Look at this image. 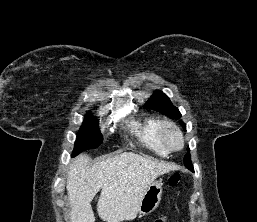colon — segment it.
Here are the masks:
<instances>
[{"label":"colon","mask_w":257,"mask_h":222,"mask_svg":"<svg viewBox=\"0 0 257 222\" xmlns=\"http://www.w3.org/2000/svg\"><path fill=\"white\" fill-rule=\"evenodd\" d=\"M179 181H180V174L173 173L170 175V177L168 179V184L171 187H175L178 185ZM153 222H168V219L165 216H161V217L156 218Z\"/></svg>","instance_id":"obj_1"}]
</instances>
